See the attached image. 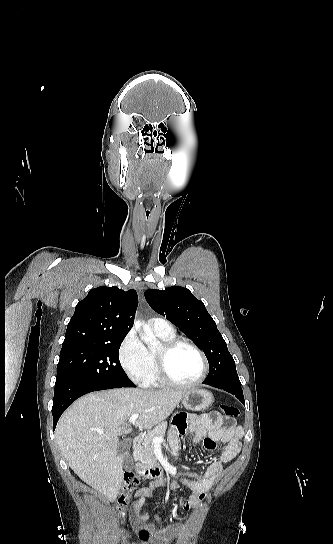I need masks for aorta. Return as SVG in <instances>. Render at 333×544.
<instances>
[{
    "mask_svg": "<svg viewBox=\"0 0 333 544\" xmlns=\"http://www.w3.org/2000/svg\"><path fill=\"white\" fill-rule=\"evenodd\" d=\"M135 327L136 329L140 327V322L139 321H135ZM143 340L150 344V345H157L158 344V341L156 339V337L153 335V334H150L149 336H142Z\"/></svg>",
    "mask_w": 333,
    "mask_h": 544,
    "instance_id": "aorta-1",
    "label": "aorta"
}]
</instances>
